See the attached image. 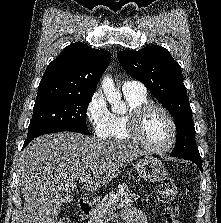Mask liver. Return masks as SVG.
Masks as SVG:
<instances>
[{"label": "liver", "mask_w": 221, "mask_h": 223, "mask_svg": "<svg viewBox=\"0 0 221 223\" xmlns=\"http://www.w3.org/2000/svg\"><path fill=\"white\" fill-rule=\"evenodd\" d=\"M146 154L135 146L71 132L34 139L23 150L18 164L24 198L22 223H56L64 203L61 190L72 192L76 182L85 176L89 181L83 188L97 190L129 162Z\"/></svg>", "instance_id": "1"}]
</instances>
